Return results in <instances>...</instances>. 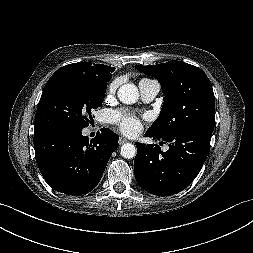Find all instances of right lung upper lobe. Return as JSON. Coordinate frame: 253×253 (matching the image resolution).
<instances>
[{
	"label": "right lung upper lobe",
	"mask_w": 253,
	"mask_h": 253,
	"mask_svg": "<svg viewBox=\"0 0 253 253\" xmlns=\"http://www.w3.org/2000/svg\"><path fill=\"white\" fill-rule=\"evenodd\" d=\"M59 70L79 71L85 74L96 76L98 78L110 80L112 77V72L115 70V68L103 64L92 65L90 62H80L63 66Z\"/></svg>",
	"instance_id": "obj_1"
}]
</instances>
